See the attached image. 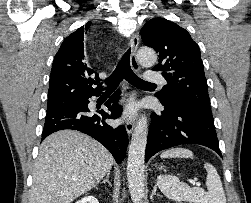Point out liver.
Instances as JSON below:
<instances>
[{
	"label": "liver",
	"mask_w": 251,
	"mask_h": 203,
	"mask_svg": "<svg viewBox=\"0 0 251 203\" xmlns=\"http://www.w3.org/2000/svg\"><path fill=\"white\" fill-rule=\"evenodd\" d=\"M113 164L110 152L85 134H51L39 147L30 203H71L95 187Z\"/></svg>",
	"instance_id": "liver-1"
}]
</instances>
